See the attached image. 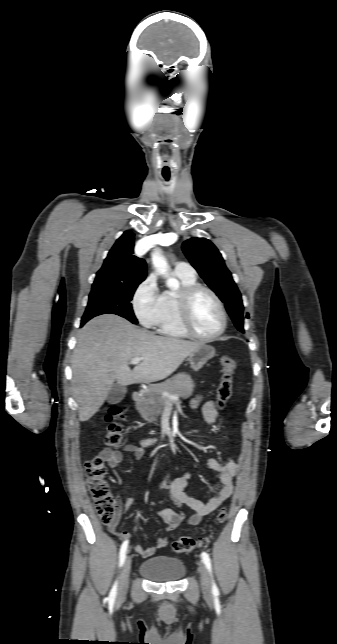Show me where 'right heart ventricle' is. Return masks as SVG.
<instances>
[{
	"mask_svg": "<svg viewBox=\"0 0 337 644\" xmlns=\"http://www.w3.org/2000/svg\"><path fill=\"white\" fill-rule=\"evenodd\" d=\"M181 282L180 290H166L161 294V308L157 319L156 330L159 334L172 338H187L189 335L180 324L178 317V296L187 286L197 284L196 275L175 272Z\"/></svg>",
	"mask_w": 337,
	"mask_h": 644,
	"instance_id": "1",
	"label": "right heart ventricle"
}]
</instances>
